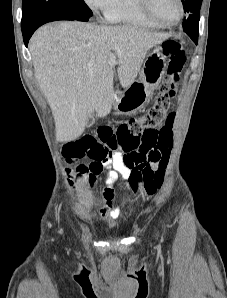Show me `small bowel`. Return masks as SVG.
Returning a JSON list of instances; mask_svg holds the SVG:
<instances>
[{"label":"small bowel","instance_id":"obj_1","mask_svg":"<svg viewBox=\"0 0 227 298\" xmlns=\"http://www.w3.org/2000/svg\"><path fill=\"white\" fill-rule=\"evenodd\" d=\"M63 157L69 163L81 158L90 159L89 165L80 164L77 171L80 176H84L88 187H92L97 176L106 170V186L102 193V204L94 213L95 217L116 219L127 215L130 207L121 211L115 206V193L113 184L121 177L125 181L128 190L134 193L142 189L145 196L153 194L152 184L154 178H150V173H157L159 165L157 160L149 159L142 152L133 150H110L106 142L96 139V134H82V139H73V142H62Z\"/></svg>","mask_w":227,"mask_h":298}]
</instances>
